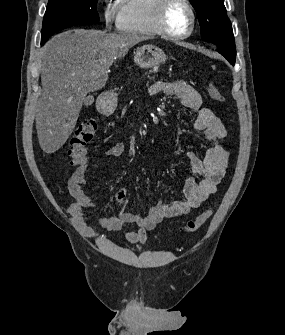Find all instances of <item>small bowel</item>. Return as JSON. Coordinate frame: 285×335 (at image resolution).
<instances>
[{"label":"small bowel","mask_w":285,"mask_h":335,"mask_svg":"<svg viewBox=\"0 0 285 335\" xmlns=\"http://www.w3.org/2000/svg\"><path fill=\"white\" fill-rule=\"evenodd\" d=\"M149 92L152 95L164 93L175 96L183 106L195 110L197 116L194 120V128L204 134L208 147L203 159L193 152L187 154L194 175L185 183L182 200L171 203L158 202L145 216H141L125 210L128 190L124 187L116 194L120 207L119 214L96 219L98 226L107 231H118L126 223L135 224L136 229L128 231L125 235L126 239L133 244L145 243L147 232L165 219L188 214L206 202L210 195L216 192L218 184L226 173L228 162V152L220 144L227 131L214 112L202 106V97L194 87L183 80L159 81L150 87ZM124 152V142L118 141L108 147L104 154L108 158H118ZM99 166V164H93L94 168ZM88 172V166L81 165L70 178L68 187L75 201L68 208V212L85 237L95 238L98 234L89 226L91 219L87 216L86 210L96 208L97 202L88 197L83 190Z\"/></svg>","instance_id":"1"}]
</instances>
